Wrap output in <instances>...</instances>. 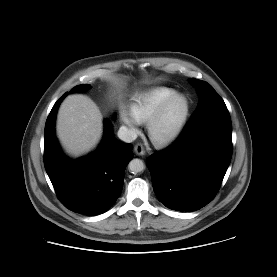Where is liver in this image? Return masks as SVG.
<instances>
[{
	"label": "liver",
	"mask_w": 277,
	"mask_h": 277,
	"mask_svg": "<svg viewBox=\"0 0 277 277\" xmlns=\"http://www.w3.org/2000/svg\"><path fill=\"white\" fill-rule=\"evenodd\" d=\"M103 132L102 114L87 96H68L60 106L57 135L72 156L90 152L99 143Z\"/></svg>",
	"instance_id": "obj_1"
}]
</instances>
